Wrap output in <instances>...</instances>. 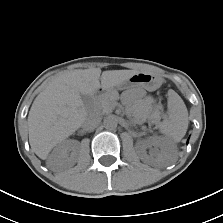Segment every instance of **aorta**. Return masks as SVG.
<instances>
[{"label": "aorta", "instance_id": "762f6f07", "mask_svg": "<svg viewBox=\"0 0 223 223\" xmlns=\"http://www.w3.org/2000/svg\"><path fill=\"white\" fill-rule=\"evenodd\" d=\"M103 124L106 129H115L117 127V119L113 115H109L104 118Z\"/></svg>", "mask_w": 223, "mask_h": 223}]
</instances>
